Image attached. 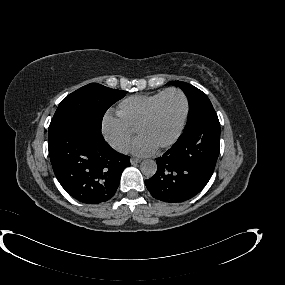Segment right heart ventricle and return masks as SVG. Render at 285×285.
<instances>
[{
    "instance_id": "right-heart-ventricle-1",
    "label": "right heart ventricle",
    "mask_w": 285,
    "mask_h": 285,
    "mask_svg": "<svg viewBox=\"0 0 285 285\" xmlns=\"http://www.w3.org/2000/svg\"><path fill=\"white\" fill-rule=\"evenodd\" d=\"M164 91L133 95L122 100L118 105L117 117L128 129L137 131L152 105Z\"/></svg>"
}]
</instances>
